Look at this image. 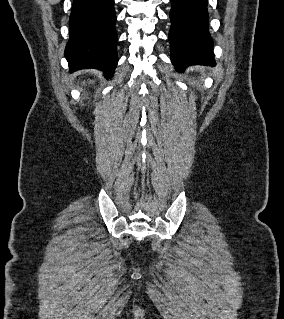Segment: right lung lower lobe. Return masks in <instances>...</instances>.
Listing matches in <instances>:
<instances>
[{
	"label": "right lung lower lobe",
	"mask_w": 284,
	"mask_h": 319,
	"mask_svg": "<svg viewBox=\"0 0 284 319\" xmlns=\"http://www.w3.org/2000/svg\"><path fill=\"white\" fill-rule=\"evenodd\" d=\"M115 22L114 0H73L65 48L70 72L95 68L112 77L118 62Z\"/></svg>",
	"instance_id": "right-lung-lower-lobe-1"
}]
</instances>
